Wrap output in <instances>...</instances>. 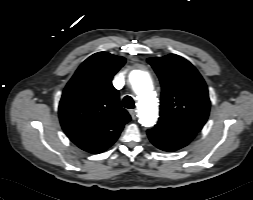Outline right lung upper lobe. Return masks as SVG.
Returning <instances> with one entry per match:
<instances>
[{
    "label": "right lung upper lobe",
    "instance_id": "1",
    "mask_svg": "<svg viewBox=\"0 0 253 200\" xmlns=\"http://www.w3.org/2000/svg\"><path fill=\"white\" fill-rule=\"evenodd\" d=\"M125 62L110 53H95L79 66L63 91L59 104L62 129L87 152L105 151L131 119L120 107L118 90L112 85Z\"/></svg>",
    "mask_w": 253,
    "mask_h": 200
}]
</instances>
